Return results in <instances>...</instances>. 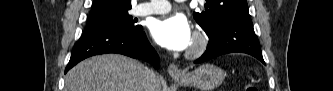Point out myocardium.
<instances>
[{
	"label": "myocardium",
	"instance_id": "1",
	"mask_svg": "<svg viewBox=\"0 0 333 91\" xmlns=\"http://www.w3.org/2000/svg\"><path fill=\"white\" fill-rule=\"evenodd\" d=\"M209 39L202 31H196L193 35L192 43L186 53L189 59L198 58L204 54L208 47Z\"/></svg>",
	"mask_w": 333,
	"mask_h": 91
}]
</instances>
